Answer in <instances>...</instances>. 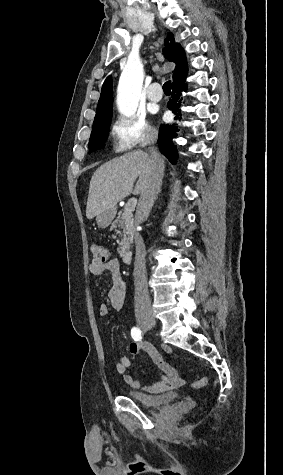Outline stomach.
Wrapping results in <instances>:
<instances>
[{"label": "stomach", "mask_w": 283, "mask_h": 475, "mask_svg": "<svg viewBox=\"0 0 283 475\" xmlns=\"http://www.w3.org/2000/svg\"><path fill=\"white\" fill-rule=\"evenodd\" d=\"M115 216L116 208H112V210H105V212H102V214H98V216H96V224H98V228H107V226H110Z\"/></svg>", "instance_id": "1"}]
</instances>
